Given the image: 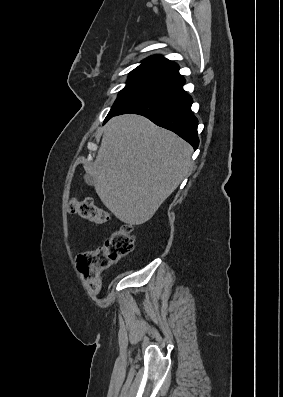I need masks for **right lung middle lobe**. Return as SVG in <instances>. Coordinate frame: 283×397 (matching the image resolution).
<instances>
[{
    "label": "right lung middle lobe",
    "mask_w": 283,
    "mask_h": 397,
    "mask_svg": "<svg viewBox=\"0 0 283 397\" xmlns=\"http://www.w3.org/2000/svg\"><path fill=\"white\" fill-rule=\"evenodd\" d=\"M170 86L168 82L151 79L143 74L131 73L126 86L119 92L118 97L104 120V124L122 109L151 94Z\"/></svg>",
    "instance_id": "dd1d6c3e"
}]
</instances>
